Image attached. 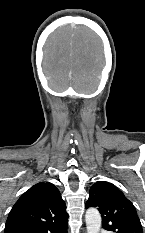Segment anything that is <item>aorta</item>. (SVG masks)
<instances>
[{"label":"aorta","instance_id":"aorta-1","mask_svg":"<svg viewBox=\"0 0 145 233\" xmlns=\"http://www.w3.org/2000/svg\"><path fill=\"white\" fill-rule=\"evenodd\" d=\"M87 233H99L101 228V215L95 208H89L85 214Z\"/></svg>","mask_w":145,"mask_h":233}]
</instances>
